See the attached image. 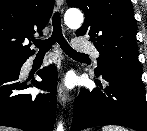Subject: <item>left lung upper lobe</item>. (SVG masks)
Instances as JSON below:
<instances>
[{
	"mask_svg": "<svg viewBox=\"0 0 147 131\" xmlns=\"http://www.w3.org/2000/svg\"><path fill=\"white\" fill-rule=\"evenodd\" d=\"M85 13L77 36L87 35L100 53L96 74L112 69L141 79L136 44L137 24L130 0H67Z\"/></svg>",
	"mask_w": 147,
	"mask_h": 131,
	"instance_id": "1",
	"label": "left lung upper lobe"
}]
</instances>
